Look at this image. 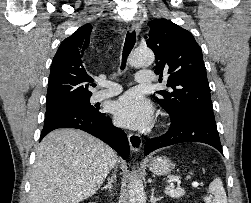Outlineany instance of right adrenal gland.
I'll use <instances>...</instances> for the list:
<instances>
[{"instance_id":"2a0ac1e0","label":"right adrenal gland","mask_w":251,"mask_h":203,"mask_svg":"<svg viewBox=\"0 0 251 203\" xmlns=\"http://www.w3.org/2000/svg\"><path fill=\"white\" fill-rule=\"evenodd\" d=\"M116 182V176L113 175L111 178H108V184L104 186L101 190H109L110 192L112 191L113 188V183Z\"/></svg>"}]
</instances>
